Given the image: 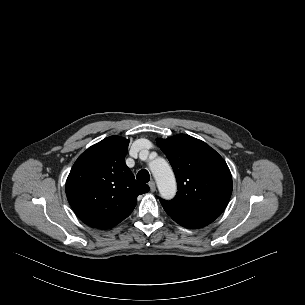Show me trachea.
I'll use <instances>...</instances> for the list:
<instances>
[{
    "mask_svg": "<svg viewBox=\"0 0 305 305\" xmlns=\"http://www.w3.org/2000/svg\"><path fill=\"white\" fill-rule=\"evenodd\" d=\"M136 178H137V180H139L141 182L147 183L150 180V175L147 170L143 169L138 172V174L136 175Z\"/></svg>",
    "mask_w": 305,
    "mask_h": 305,
    "instance_id": "3493384b",
    "label": "trachea"
}]
</instances>
